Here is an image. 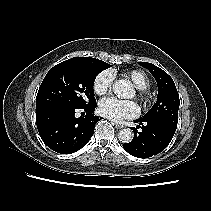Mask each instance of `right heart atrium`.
Instances as JSON below:
<instances>
[{
	"label": "right heart atrium",
	"mask_w": 211,
	"mask_h": 211,
	"mask_svg": "<svg viewBox=\"0 0 211 211\" xmlns=\"http://www.w3.org/2000/svg\"><path fill=\"white\" fill-rule=\"evenodd\" d=\"M113 79H114V76L111 71L104 70L100 72L95 77L94 82H93L94 92L99 96L108 94L111 90Z\"/></svg>",
	"instance_id": "d8ad5b80"
}]
</instances>
